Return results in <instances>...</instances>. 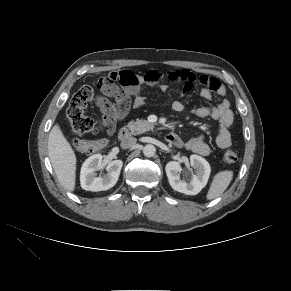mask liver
Wrapping results in <instances>:
<instances>
[{"instance_id": "liver-1", "label": "liver", "mask_w": 291, "mask_h": 291, "mask_svg": "<svg viewBox=\"0 0 291 291\" xmlns=\"http://www.w3.org/2000/svg\"><path fill=\"white\" fill-rule=\"evenodd\" d=\"M48 155L60 184L74 191L76 180V155L65 138L59 124H55L48 137Z\"/></svg>"}]
</instances>
